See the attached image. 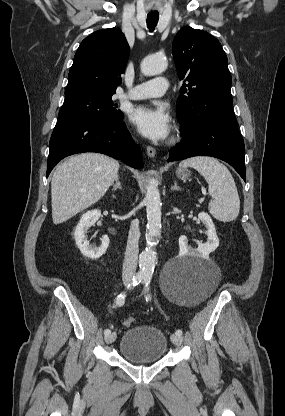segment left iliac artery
Listing matches in <instances>:
<instances>
[{"mask_svg": "<svg viewBox=\"0 0 285 416\" xmlns=\"http://www.w3.org/2000/svg\"><path fill=\"white\" fill-rule=\"evenodd\" d=\"M150 280H151V275H149V274L144 275V277H143V283H144V285L146 287V291L147 292L149 290L148 286H149ZM150 299H151L150 294H147L146 301H148ZM175 334L181 336L182 335V330H180V329L176 330Z\"/></svg>", "mask_w": 285, "mask_h": 416, "instance_id": "1", "label": "left iliac artery"}]
</instances>
